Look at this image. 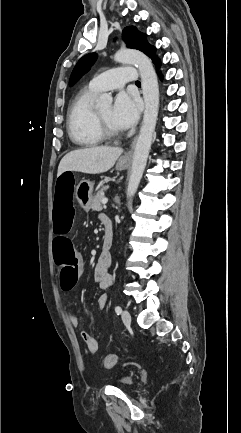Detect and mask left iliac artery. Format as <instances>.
Wrapping results in <instances>:
<instances>
[{
	"instance_id": "left-iliac-artery-1",
	"label": "left iliac artery",
	"mask_w": 241,
	"mask_h": 433,
	"mask_svg": "<svg viewBox=\"0 0 241 433\" xmlns=\"http://www.w3.org/2000/svg\"><path fill=\"white\" fill-rule=\"evenodd\" d=\"M115 312H116L118 315L121 314V312H122L121 307H120V306H116V307H115Z\"/></svg>"
}]
</instances>
